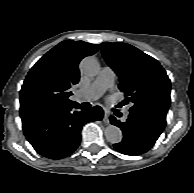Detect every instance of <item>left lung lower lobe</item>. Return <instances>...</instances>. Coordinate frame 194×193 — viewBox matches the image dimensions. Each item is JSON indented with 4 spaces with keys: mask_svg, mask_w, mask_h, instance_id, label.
<instances>
[{
    "mask_svg": "<svg viewBox=\"0 0 194 193\" xmlns=\"http://www.w3.org/2000/svg\"><path fill=\"white\" fill-rule=\"evenodd\" d=\"M110 122L121 128L123 139L114 148L125 155H140L156 142L166 125V115L130 111L126 122L110 116Z\"/></svg>",
    "mask_w": 194,
    "mask_h": 193,
    "instance_id": "obj_1",
    "label": "left lung lower lobe"
}]
</instances>
